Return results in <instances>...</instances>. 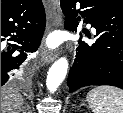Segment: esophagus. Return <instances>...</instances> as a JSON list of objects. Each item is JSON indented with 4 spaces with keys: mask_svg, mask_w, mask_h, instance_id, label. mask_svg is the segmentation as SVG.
Listing matches in <instances>:
<instances>
[{
    "mask_svg": "<svg viewBox=\"0 0 123 113\" xmlns=\"http://www.w3.org/2000/svg\"><path fill=\"white\" fill-rule=\"evenodd\" d=\"M47 12L49 13V28H58L62 26L63 15L60 8L59 0H47L45 2ZM58 55L57 51H48L47 49H43L41 51V61L43 64L52 63Z\"/></svg>",
    "mask_w": 123,
    "mask_h": 113,
    "instance_id": "1",
    "label": "esophagus"
}]
</instances>
